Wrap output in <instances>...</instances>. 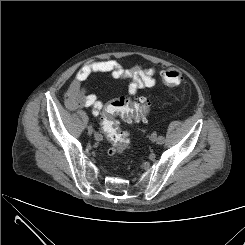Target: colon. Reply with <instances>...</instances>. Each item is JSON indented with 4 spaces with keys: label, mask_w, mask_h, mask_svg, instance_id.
I'll return each mask as SVG.
<instances>
[{
    "label": "colon",
    "mask_w": 245,
    "mask_h": 245,
    "mask_svg": "<svg viewBox=\"0 0 245 245\" xmlns=\"http://www.w3.org/2000/svg\"><path fill=\"white\" fill-rule=\"evenodd\" d=\"M163 81L169 86H178L183 82V75L177 69H167L163 72ZM150 102L144 96L120 97L110 102L104 109L101 123L111 146L108 154H123L130 144L129 135L119 127L117 117L127 122L144 121L149 112Z\"/></svg>",
    "instance_id": "1"
}]
</instances>
